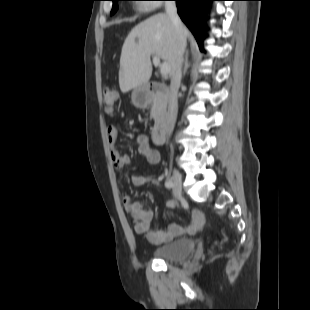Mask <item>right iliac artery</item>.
<instances>
[{
	"instance_id": "1",
	"label": "right iliac artery",
	"mask_w": 310,
	"mask_h": 310,
	"mask_svg": "<svg viewBox=\"0 0 310 310\" xmlns=\"http://www.w3.org/2000/svg\"><path fill=\"white\" fill-rule=\"evenodd\" d=\"M165 186H166L167 188H173V187H174V183H173V181H172L171 179H169V180H167V181L165 182Z\"/></svg>"
}]
</instances>
